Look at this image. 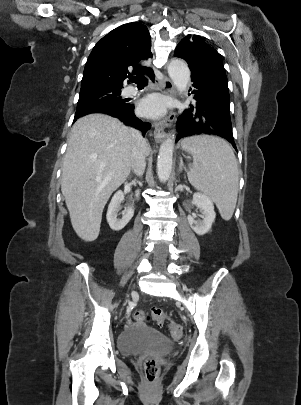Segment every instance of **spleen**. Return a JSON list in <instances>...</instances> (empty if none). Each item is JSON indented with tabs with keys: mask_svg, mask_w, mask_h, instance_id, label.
I'll return each instance as SVG.
<instances>
[{
	"mask_svg": "<svg viewBox=\"0 0 301 405\" xmlns=\"http://www.w3.org/2000/svg\"><path fill=\"white\" fill-rule=\"evenodd\" d=\"M183 150L193 155L189 182L208 195L224 220H230L238 196V165L229 144L217 137L200 135L182 140Z\"/></svg>",
	"mask_w": 301,
	"mask_h": 405,
	"instance_id": "obj_1",
	"label": "spleen"
}]
</instances>
